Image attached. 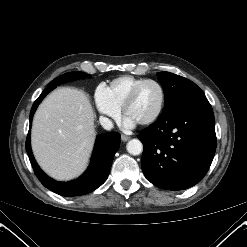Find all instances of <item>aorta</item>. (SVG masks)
I'll list each match as a JSON object with an SVG mask.
<instances>
[{"label":"aorta","instance_id":"1","mask_svg":"<svg viewBox=\"0 0 247 247\" xmlns=\"http://www.w3.org/2000/svg\"><path fill=\"white\" fill-rule=\"evenodd\" d=\"M126 148L131 155H139L143 150V145L140 140L132 139L127 143Z\"/></svg>","mask_w":247,"mask_h":247}]
</instances>
